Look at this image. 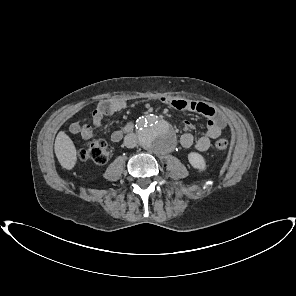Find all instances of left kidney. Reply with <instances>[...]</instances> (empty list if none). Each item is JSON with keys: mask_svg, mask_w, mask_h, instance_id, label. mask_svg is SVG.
<instances>
[{"mask_svg": "<svg viewBox=\"0 0 296 296\" xmlns=\"http://www.w3.org/2000/svg\"><path fill=\"white\" fill-rule=\"evenodd\" d=\"M188 161L192 167H194L200 171L206 170V162L201 154L196 153V152L189 153L188 154Z\"/></svg>", "mask_w": 296, "mask_h": 296, "instance_id": "5707ae66", "label": "left kidney"}]
</instances>
